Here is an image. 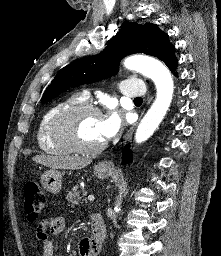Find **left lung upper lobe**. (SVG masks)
<instances>
[{"mask_svg": "<svg viewBox=\"0 0 221 256\" xmlns=\"http://www.w3.org/2000/svg\"><path fill=\"white\" fill-rule=\"evenodd\" d=\"M134 53L157 57L173 72L178 65L175 48L169 42L168 34L161 31L157 25L124 23L100 54L78 59L62 68L47 87L41 102L46 103L71 87L115 75L120 60Z\"/></svg>", "mask_w": 221, "mask_h": 256, "instance_id": "left-lung-upper-lobe-1", "label": "left lung upper lobe"}]
</instances>
